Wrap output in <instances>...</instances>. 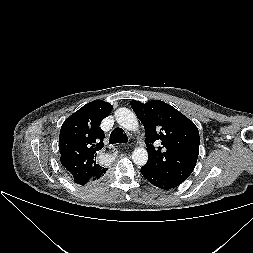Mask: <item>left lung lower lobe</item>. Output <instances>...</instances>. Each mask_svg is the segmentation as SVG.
<instances>
[{
  "instance_id": "left-lung-lower-lobe-1",
  "label": "left lung lower lobe",
  "mask_w": 253,
  "mask_h": 253,
  "mask_svg": "<svg viewBox=\"0 0 253 253\" xmlns=\"http://www.w3.org/2000/svg\"><path fill=\"white\" fill-rule=\"evenodd\" d=\"M141 174L153 185L161 188V189H171L175 188L181 183H178L176 181H173L169 178H166L164 176H161L153 171H151L149 168H146L145 166L141 167Z\"/></svg>"
}]
</instances>
